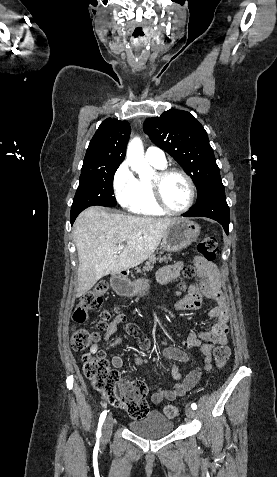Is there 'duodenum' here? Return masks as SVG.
<instances>
[{"label":"duodenum","instance_id":"obj_1","mask_svg":"<svg viewBox=\"0 0 277 477\" xmlns=\"http://www.w3.org/2000/svg\"><path fill=\"white\" fill-rule=\"evenodd\" d=\"M123 275H125V272H120L119 273V276H123Z\"/></svg>","mask_w":277,"mask_h":477}]
</instances>
